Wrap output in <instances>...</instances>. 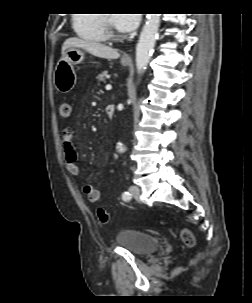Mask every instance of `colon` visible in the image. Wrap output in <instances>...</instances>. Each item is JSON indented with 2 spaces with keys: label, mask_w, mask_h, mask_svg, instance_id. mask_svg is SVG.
I'll list each match as a JSON object with an SVG mask.
<instances>
[{
  "label": "colon",
  "mask_w": 252,
  "mask_h": 303,
  "mask_svg": "<svg viewBox=\"0 0 252 303\" xmlns=\"http://www.w3.org/2000/svg\"><path fill=\"white\" fill-rule=\"evenodd\" d=\"M59 113L62 118H69L71 115V105L68 102H62L59 106ZM98 219L101 223L106 224L109 221V214L102 208L97 210ZM180 238L182 242L189 248L195 246V237L188 229L180 231Z\"/></svg>",
  "instance_id": "colon-1"
}]
</instances>
